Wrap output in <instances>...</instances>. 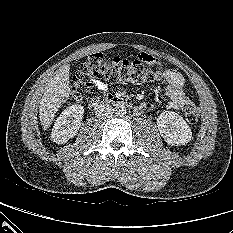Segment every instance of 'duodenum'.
I'll list each match as a JSON object with an SVG mask.
<instances>
[{
    "mask_svg": "<svg viewBox=\"0 0 233 233\" xmlns=\"http://www.w3.org/2000/svg\"><path fill=\"white\" fill-rule=\"evenodd\" d=\"M108 105L114 106H131V103L124 98L118 96H105V97H96L90 100L89 108L91 110H100ZM137 110H141V107H136Z\"/></svg>",
    "mask_w": 233,
    "mask_h": 233,
    "instance_id": "obj_1",
    "label": "duodenum"
}]
</instances>
